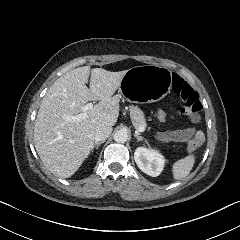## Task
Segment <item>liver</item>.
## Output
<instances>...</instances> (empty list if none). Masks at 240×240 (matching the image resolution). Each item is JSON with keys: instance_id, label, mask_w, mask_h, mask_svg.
Instances as JSON below:
<instances>
[{"instance_id": "liver-1", "label": "liver", "mask_w": 240, "mask_h": 240, "mask_svg": "<svg viewBox=\"0 0 240 240\" xmlns=\"http://www.w3.org/2000/svg\"><path fill=\"white\" fill-rule=\"evenodd\" d=\"M91 74L90 86H86ZM126 70L111 72L83 66L59 77L42 99L34 126L35 149L55 176L71 177L88 157L97 128L113 126L119 116V88ZM84 120L66 121L83 112L88 101H98Z\"/></svg>"}]
</instances>
